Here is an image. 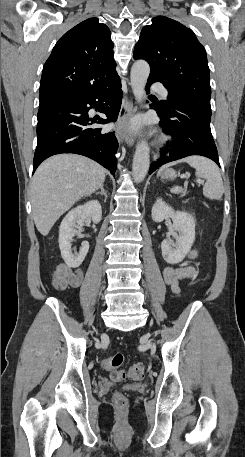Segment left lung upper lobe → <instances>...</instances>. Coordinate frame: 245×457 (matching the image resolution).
Returning a JSON list of instances; mask_svg holds the SVG:
<instances>
[{
	"instance_id": "obj_1",
	"label": "left lung upper lobe",
	"mask_w": 245,
	"mask_h": 457,
	"mask_svg": "<svg viewBox=\"0 0 245 457\" xmlns=\"http://www.w3.org/2000/svg\"><path fill=\"white\" fill-rule=\"evenodd\" d=\"M134 58L145 59L151 67L149 77L168 90L167 100L160 102L162 107L211 110L206 52L192 30L168 17H154L152 24L142 28Z\"/></svg>"
}]
</instances>
